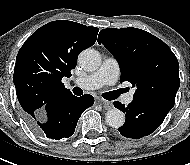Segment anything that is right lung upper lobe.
<instances>
[{
    "mask_svg": "<svg viewBox=\"0 0 190 165\" xmlns=\"http://www.w3.org/2000/svg\"><path fill=\"white\" fill-rule=\"evenodd\" d=\"M99 29L57 20L36 30L20 48L13 81L25 114H34L51 99L71 93L61 79L71 76L79 53L92 46Z\"/></svg>",
    "mask_w": 190,
    "mask_h": 165,
    "instance_id": "obj_1",
    "label": "right lung upper lobe"
}]
</instances>
